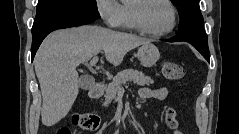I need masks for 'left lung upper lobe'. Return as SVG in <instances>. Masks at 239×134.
<instances>
[{
    "label": "left lung upper lobe",
    "instance_id": "obj_1",
    "mask_svg": "<svg viewBox=\"0 0 239 134\" xmlns=\"http://www.w3.org/2000/svg\"><path fill=\"white\" fill-rule=\"evenodd\" d=\"M178 7L180 24L176 32L181 34H199L205 35L203 28V16L199 7V0H171Z\"/></svg>",
    "mask_w": 239,
    "mask_h": 134
}]
</instances>
